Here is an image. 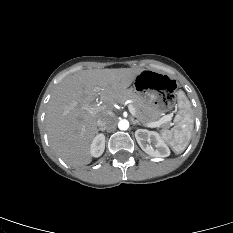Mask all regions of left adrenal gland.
Here are the masks:
<instances>
[{
	"label": "left adrenal gland",
	"instance_id": "1",
	"mask_svg": "<svg viewBox=\"0 0 233 233\" xmlns=\"http://www.w3.org/2000/svg\"><path fill=\"white\" fill-rule=\"evenodd\" d=\"M132 123H133L134 125H136V124L141 125V123H140L139 121L134 120V119H132Z\"/></svg>",
	"mask_w": 233,
	"mask_h": 233
}]
</instances>
